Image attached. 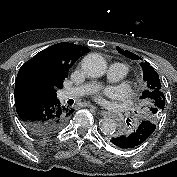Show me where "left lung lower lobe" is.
<instances>
[{"mask_svg":"<svg viewBox=\"0 0 177 177\" xmlns=\"http://www.w3.org/2000/svg\"><path fill=\"white\" fill-rule=\"evenodd\" d=\"M156 125L149 120H143L132 132L115 136L112 144L121 149H132L144 143L154 132Z\"/></svg>","mask_w":177,"mask_h":177,"instance_id":"obj_1","label":"left lung lower lobe"}]
</instances>
